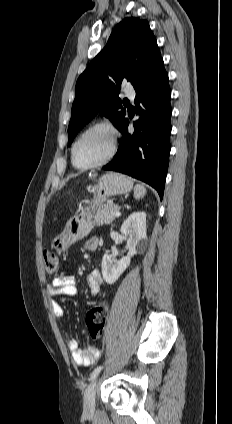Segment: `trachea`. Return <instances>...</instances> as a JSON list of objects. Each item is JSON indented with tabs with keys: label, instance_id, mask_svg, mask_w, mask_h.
<instances>
[{
	"label": "trachea",
	"instance_id": "3493384b",
	"mask_svg": "<svg viewBox=\"0 0 232 424\" xmlns=\"http://www.w3.org/2000/svg\"><path fill=\"white\" fill-rule=\"evenodd\" d=\"M124 103H125V104H128V103H129V100H124Z\"/></svg>",
	"mask_w": 232,
	"mask_h": 424
}]
</instances>
